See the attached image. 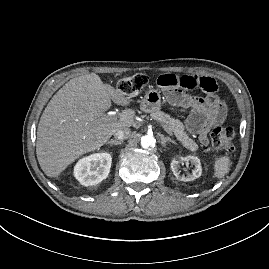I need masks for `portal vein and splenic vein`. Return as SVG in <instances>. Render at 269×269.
Here are the masks:
<instances>
[{"label":"portal vein and splenic vein","mask_w":269,"mask_h":269,"mask_svg":"<svg viewBox=\"0 0 269 269\" xmlns=\"http://www.w3.org/2000/svg\"><path fill=\"white\" fill-rule=\"evenodd\" d=\"M109 117H111L112 119H116L114 112L110 113ZM161 126L166 130V127L164 125H161Z\"/></svg>","instance_id":"1"}]
</instances>
